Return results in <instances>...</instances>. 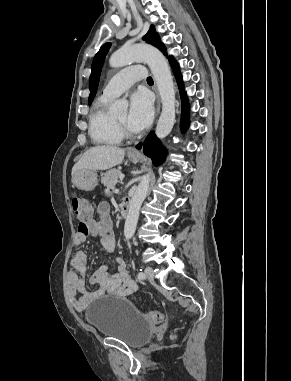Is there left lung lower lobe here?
<instances>
[{"label": "left lung lower lobe", "instance_id": "left-lung-lower-lobe-1", "mask_svg": "<svg viewBox=\"0 0 291 381\" xmlns=\"http://www.w3.org/2000/svg\"><path fill=\"white\" fill-rule=\"evenodd\" d=\"M169 62L176 74L177 81L179 83L181 98H182V120L181 126L183 129L188 127L189 123V105L186 97V93L183 90L182 79L178 71V63H175L171 57H168ZM143 153L150 157L155 166L161 164L165 157V150L160 140L155 136L154 132H151L145 139L143 145L140 143L137 148H141Z\"/></svg>", "mask_w": 291, "mask_h": 381}]
</instances>
